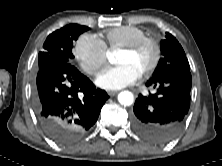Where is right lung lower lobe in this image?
Listing matches in <instances>:
<instances>
[{
    "mask_svg": "<svg viewBox=\"0 0 222 166\" xmlns=\"http://www.w3.org/2000/svg\"><path fill=\"white\" fill-rule=\"evenodd\" d=\"M109 98L104 90L71 63L38 70L32 99L38 121L48 137L60 144L82 138L95 124Z\"/></svg>",
    "mask_w": 222,
    "mask_h": 166,
    "instance_id": "1",
    "label": "right lung lower lobe"
}]
</instances>
